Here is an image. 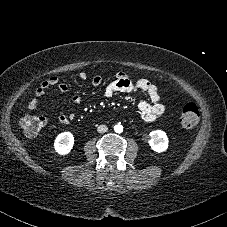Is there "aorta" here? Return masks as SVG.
Instances as JSON below:
<instances>
[{"label":"aorta","mask_w":227,"mask_h":227,"mask_svg":"<svg viewBox=\"0 0 227 227\" xmlns=\"http://www.w3.org/2000/svg\"><path fill=\"white\" fill-rule=\"evenodd\" d=\"M114 131L116 133H121L123 131V126L121 124H117L114 126Z\"/></svg>","instance_id":"aorta-1"}]
</instances>
